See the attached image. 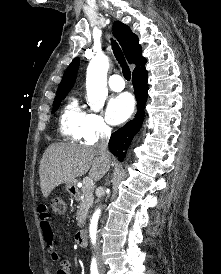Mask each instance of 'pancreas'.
<instances>
[{"label": "pancreas", "mask_w": 221, "mask_h": 274, "mask_svg": "<svg viewBox=\"0 0 221 274\" xmlns=\"http://www.w3.org/2000/svg\"><path fill=\"white\" fill-rule=\"evenodd\" d=\"M81 196H83L82 199H81ZM76 199L80 203V206L76 213L77 225L81 227L85 224L88 211L93 203V199H94L93 190L83 186L81 192L78 193Z\"/></svg>", "instance_id": "pancreas-1"}]
</instances>
